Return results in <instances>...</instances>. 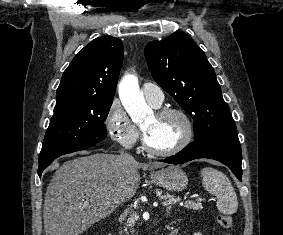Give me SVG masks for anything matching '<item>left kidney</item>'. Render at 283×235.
<instances>
[{"label":"left kidney","mask_w":283,"mask_h":235,"mask_svg":"<svg viewBox=\"0 0 283 235\" xmlns=\"http://www.w3.org/2000/svg\"><path fill=\"white\" fill-rule=\"evenodd\" d=\"M194 235H202L201 233L197 232V233H194Z\"/></svg>","instance_id":"left-kidney-1"}]
</instances>
